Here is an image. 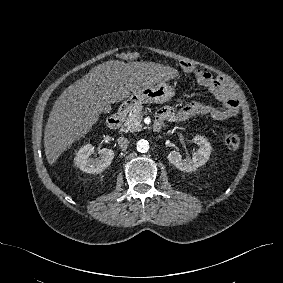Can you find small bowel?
I'll return each instance as SVG.
<instances>
[{
    "mask_svg": "<svg viewBox=\"0 0 283 283\" xmlns=\"http://www.w3.org/2000/svg\"><path fill=\"white\" fill-rule=\"evenodd\" d=\"M186 71H194L198 83L210 89L220 106L197 101L188 103L179 110L164 107L161 108L156 115L161 118L162 121L181 122L193 117L224 120L238 113V100L235 98L230 88L219 77L212 75L208 71L194 70L191 66L186 69Z\"/></svg>",
    "mask_w": 283,
    "mask_h": 283,
    "instance_id": "1",
    "label": "small bowel"
}]
</instances>
